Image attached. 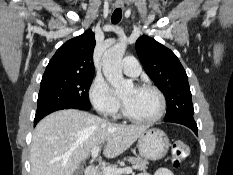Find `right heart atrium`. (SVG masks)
I'll return each mask as SVG.
<instances>
[{"label":"right heart atrium","instance_id":"d8ad5b80","mask_svg":"<svg viewBox=\"0 0 233 175\" xmlns=\"http://www.w3.org/2000/svg\"><path fill=\"white\" fill-rule=\"evenodd\" d=\"M89 100L94 109L105 116H114L120 108L119 98L112 92L108 83L95 77L88 90Z\"/></svg>","mask_w":233,"mask_h":175}]
</instances>
